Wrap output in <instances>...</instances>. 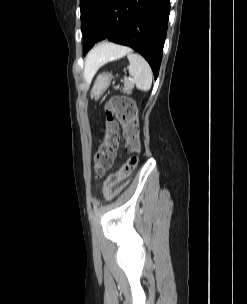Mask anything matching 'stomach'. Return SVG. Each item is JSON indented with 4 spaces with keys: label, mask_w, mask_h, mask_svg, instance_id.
Listing matches in <instances>:
<instances>
[{
    "label": "stomach",
    "mask_w": 247,
    "mask_h": 304,
    "mask_svg": "<svg viewBox=\"0 0 247 304\" xmlns=\"http://www.w3.org/2000/svg\"><path fill=\"white\" fill-rule=\"evenodd\" d=\"M110 83H111V74L105 72L99 74L91 90V96L92 97L100 96L108 88Z\"/></svg>",
    "instance_id": "0dacf381"
}]
</instances>
